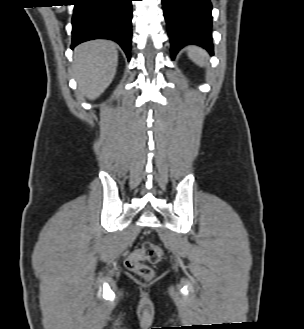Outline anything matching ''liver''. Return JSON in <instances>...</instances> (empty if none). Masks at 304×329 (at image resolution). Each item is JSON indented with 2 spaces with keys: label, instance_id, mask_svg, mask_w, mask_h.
<instances>
[{
  "label": "liver",
  "instance_id": "1",
  "mask_svg": "<svg viewBox=\"0 0 304 329\" xmlns=\"http://www.w3.org/2000/svg\"><path fill=\"white\" fill-rule=\"evenodd\" d=\"M117 63L118 52L112 41L93 40L77 46L73 70L79 90L89 100L98 98L112 82Z\"/></svg>",
  "mask_w": 304,
  "mask_h": 329
}]
</instances>
